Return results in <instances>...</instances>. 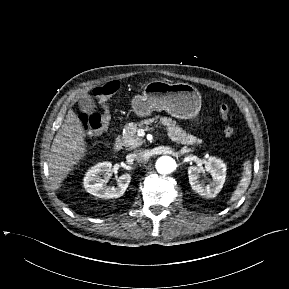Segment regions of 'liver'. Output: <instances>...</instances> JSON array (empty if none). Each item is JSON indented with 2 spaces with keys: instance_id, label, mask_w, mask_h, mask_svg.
Segmentation results:
<instances>
[{
  "instance_id": "obj_1",
  "label": "liver",
  "mask_w": 289,
  "mask_h": 289,
  "mask_svg": "<svg viewBox=\"0 0 289 289\" xmlns=\"http://www.w3.org/2000/svg\"><path fill=\"white\" fill-rule=\"evenodd\" d=\"M85 144L82 122L70 109L51 146L48 165L54 190L60 188L73 166L85 156Z\"/></svg>"
}]
</instances>
